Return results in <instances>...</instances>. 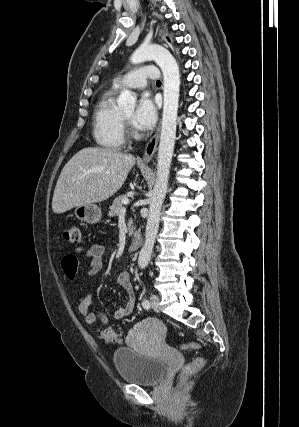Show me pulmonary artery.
<instances>
[{
    "mask_svg": "<svg viewBox=\"0 0 299 427\" xmlns=\"http://www.w3.org/2000/svg\"><path fill=\"white\" fill-rule=\"evenodd\" d=\"M160 76L159 71L152 66H142L136 68L122 78L114 82L116 88L129 87L134 89H143L146 87L147 80H158Z\"/></svg>",
    "mask_w": 299,
    "mask_h": 427,
    "instance_id": "1",
    "label": "pulmonary artery"
}]
</instances>
